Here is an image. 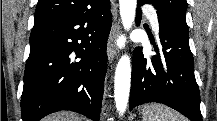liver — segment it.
Segmentation results:
<instances>
[{"label": "liver", "instance_id": "6515ba94", "mask_svg": "<svg viewBox=\"0 0 217 121\" xmlns=\"http://www.w3.org/2000/svg\"><path fill=\"white\" fill-rule=\"evenodd\" d=\"M43 121H78V117L75 113L63 111L47 116Z\"/></svg>", "mask_w": 217, "mask_h": 121}]
</instances>
